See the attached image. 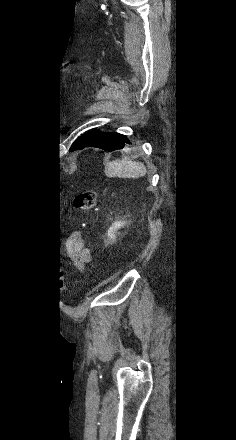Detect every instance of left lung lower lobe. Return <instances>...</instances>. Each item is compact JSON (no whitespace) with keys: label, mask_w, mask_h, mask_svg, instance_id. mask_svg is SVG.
I'll return each instance as SVG.
<instances>
[{"label":"left lung lower lobe","mask_w":236,"mask_h":440,"mask_svg":"<svg viewBox=\"0 0 236 440\" xmlns=\"http://www.w3.org/2000/svg\"><path fill=\"white\" fill-rule=\"evenodd\" d=\"M129 140L125 135L119 133H101L98 130L88 131L79 137L71 146L70 150L83 149L85 147H98L105 151L112 152L124 148Z\"/></svg>","instance_id":"1"}]
</instances>
